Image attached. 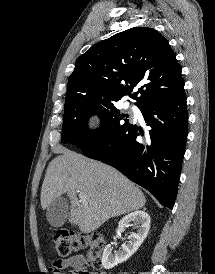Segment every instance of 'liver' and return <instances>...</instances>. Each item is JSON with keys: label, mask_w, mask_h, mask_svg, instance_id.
Here are the masks:
<instances>
[{"label": "liver", "mask_w": 215, "mask_h": 274, "mask_svg": "<svg viewBox=\"0 0 215 274\" xmlns=\"http://www.w3.org/2000/svg\"><path fill=\"white\" fill-rule=\"evenodd\" d=\"M47 167L41 189V207L67 194L71 203L68 221L84 233L98 229L108 219L144 207L142 191L116 169L67 149ZM86 194L79 201L77 193Z\"/></svg>", "instance_id": "6515ba94"}]
</instances>
